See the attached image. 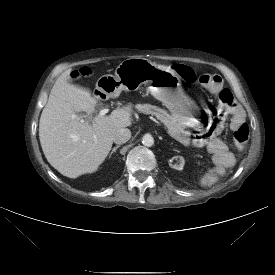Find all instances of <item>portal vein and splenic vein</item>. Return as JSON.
Masks as SVG:
<instances>
[{
    "instance_id": "portal-vein-and-splenic-vein-1",
    "label": "portal vein and splenic vein",
    "mask_w": 275,
    "mask_h": 275,
    "mask_svg": "<svg viewBox=\"0 0 275 275\" xmlns=\"http://www.w3.org/2000/svg\"><path fill=\"white\" fill-rule=\"evenodd\" d=\"M108 111H109V109H102V110H100L98 116L95 117V118L97 119V118H100V117L105 116V115L108 113ZM74 117H78V116H74ZM78 118H80V117H78ZM150 119L153 120V121H154L156 124H158L159 126H162V124H161L158 120H156L155 118L150 117ZM81 120L83 121L84 119H81ZM162 127H163V126H162Z\"/></svg>"
}]
</instances>
